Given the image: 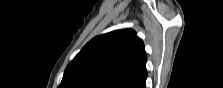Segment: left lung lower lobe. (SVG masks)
I'll list each match as a JSON object with an SVG mask.
<instances>
[{"label": "left lung lower lobe", "mask_w": 223, "mask_h": 88, "mask_svg": "<svg viewBox=\"0 0 223 88\" xmlns=\"http://www.w3.org/2000/svg\"><path fill=\"white\" fill-rule=\"evenodd\" d=\"M146 81V80H145ZM145 81L143 83H141L137 88H146L145 86Z\"/></svg>", "instance_id": "1"}]
</instances>
